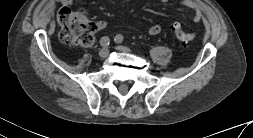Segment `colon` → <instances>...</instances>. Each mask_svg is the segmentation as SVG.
I'll list each match as a JSON object with an SVG mask.
<instances>
[{"label": "colon", "instance_id": "1", "mask_svg": "<svg viewBox=\"0 0 253 138\" xmlns=\"http://www.w3.org/2000/svg\"><path fill=\"white\" fill-rule=\"evenodd\" d=\"M58 22L63 43L82 46H89L93 43L96 26L84 14L63 7L58 12ZM173 31L176 38L184 45L189 44L195 37L194 34L183 31L178 25L173 26Z\"/></svg>", "mask_w": 253, "mask_h": 138}]
</instances>
